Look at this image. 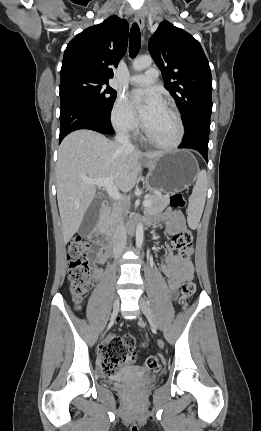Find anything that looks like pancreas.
<instances>
[{
    "label": "pancreas",
    "mask_w": 261,
    "mask_h": 431,
    "mask_svg": "<svg viewBox=\"0 0 261 431\" xmlns=\"http://www.w3.org/2000/svg\"><path fill=\"white\" fill-rule=\"evenodd\" d=\"M169 194L163 195V194H151L147 196V199L151 200V205L148 206L145 209V213H154L163 211L170 203ZM127 213V211H125ZM107 224L110 228L114 226V223L116 222L115 218V211L112 210L108 213L107 216Z\"/></svg>",
    "instance_id": "1"
}]
</instances>
